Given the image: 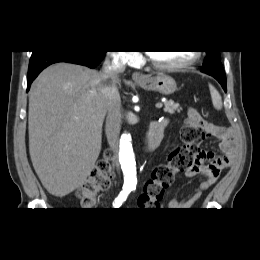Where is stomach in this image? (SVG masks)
Returning a JSON list of instances; mask_svg holds the SVG:
<instances>
[{
    "mask_svg": "<svg viewBox=\"0 0 260 260\" xmlns=\"http://www.w3.org/2000/svg\"><path fill=\"white\" fill-rule=\"evenodd\" d=\"M136 83L147 91H157L165 96L171 95L177 90L176 81L166 74L149 76L144 81H136Z\"/></svg>",
    "mask_w": 260,
    "mask_h": 260,
    "instance_id": "stomach-1",
    "label": "stomach"
}]
</instances>
